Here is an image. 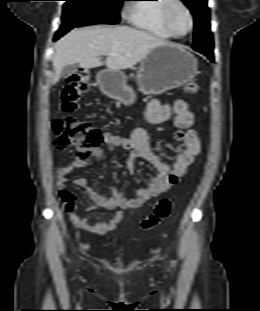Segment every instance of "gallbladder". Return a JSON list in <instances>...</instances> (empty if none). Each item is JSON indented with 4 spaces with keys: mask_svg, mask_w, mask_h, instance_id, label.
<instances>
[{
    "mask_svg": "<svg viewBox=\"0 0 260 311\" xmlns=\"http://www.w3.org/2000/svg\"><path fill=\"white\" fill-rule=\"evenodd\" d=\"M77 70H78V65L76 64L66 66L62 69L60 76L62 78H68L71 75L75 74Z\"/></svg>",
    "mask_w": 260,
    "mask_h": 311,
    "instance_id": "gallbladder-1",
    "label": "gallbladder"
}]
</instances>
